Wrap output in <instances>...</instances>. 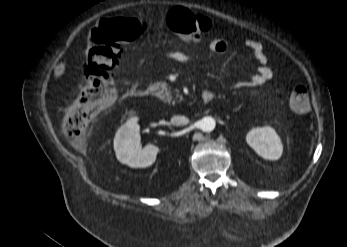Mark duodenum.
<instances>
[{"instance_id": "duodenum-1", "label": "duodenum", "mask_w": 347, "mask_h": 247, "mask_svg": "<svg viewBox=\"0 0 347 247\" xmlns=\"http://www.w3.org/2000/svg\"><path fill=\"white\" fill-rule=\"evenodd\" d=\"M150 93L149 89L147 88H131L128 91V95L131 97H145L148 96ZM214 97V94L211 91L205 90L201 95V101L203 103L210 102Z\"/></svg>"}]
</instances>
